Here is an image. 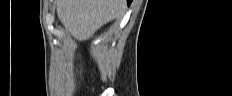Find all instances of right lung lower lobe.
<instances>
[{
    "label": "right lung lower lobe",
    "instance_id": "98d812e1",
    "mask_svg": "<svg viewBox=\"0 0 232 96\" xmlns=\"http://www.w3.org/2000/svg\"><path fill=\"white\" fill-rule=\"evenodd\" d=\"M132 2V0H127V4L130 5V3Z\"/></svg>",
    "mask_w": 232,
    "mask_h": 96
}]
</instances>
